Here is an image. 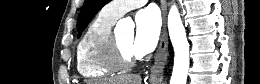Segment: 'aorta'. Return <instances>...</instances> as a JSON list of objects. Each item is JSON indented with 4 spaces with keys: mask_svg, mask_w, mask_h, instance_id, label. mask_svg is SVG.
<instances>
[{
    "mask_svg": "<svg viewBox=\"0 0 260 84\" xmlns=\"http://www.w3.org/2000/svg\"><path fill=\"white\" fill-rule=\"evenodd\" d=\"M118 24L129 32L133 30L131 23L120 21ZM168 30L174 48V66L170 84H186L189 69V43L175 4L171 6L168 14Z\"/></svg>",
    "mask_w": 260,
    "mask_h": 84,
    "instance_id": "1",
    "label": "aorta"
}]
</instances>
